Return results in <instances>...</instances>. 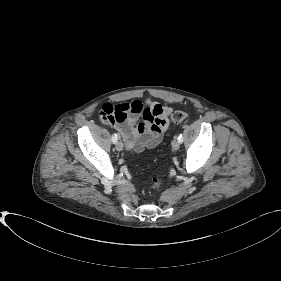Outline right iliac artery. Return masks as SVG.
I'll use <instances>...</instances> for the list:
<instances>
[{"label": "right iliac artery", "mask_w": 281, "mask_h": 281, "mask_svg": "<svg viewBox=\"0 0 281 281\" xmlns=\"http://www.w3.org/2000/svg\"><path fill=\"white\" fill-rule=\"evenodd\" d=\"M111 139L113 143H116L118 140V136L116 134H113Z\"/></svg>", "instance_id": "obj_1"}]
</instances>
